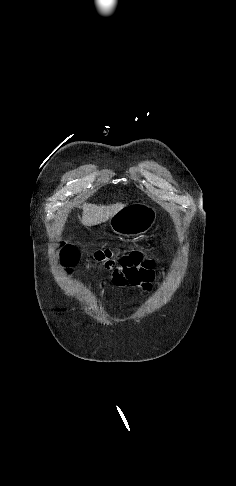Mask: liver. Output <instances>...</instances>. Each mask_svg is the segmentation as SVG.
<instances>
[{
	"label": "liver",
	"instance_id": "1",
	"mask_svg": "<svg viewBox=\"0 0 236 486\" xmlns=\"http://www.w3.org/2000/svg\"><path fill=\"white\" fill-rule=\"evenodd\" d=\"M123 207L124 205L121 203L107 206L85 203L83 205L82 218L80 219L81 224L84 226H93L106 222Z\"/></svg>",
	"mask_w": 236,
	"mask_h": 486
}]
</instances>
